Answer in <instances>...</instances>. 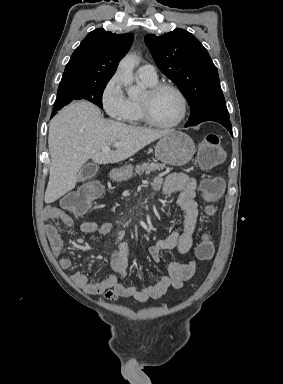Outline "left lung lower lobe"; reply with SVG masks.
Segmentation results:
<instances>
[{"label":"left lung lower lobe","instance_id":"1","mask_svg":"<svg viewBox=\"0 0 283 384\" xmlns=\"http://www.w3.org/2000/svg\"><path fill=\"white\" fill-rule=\"evenodd\" d=\"M214 121L220 123L221 125H223L230 132V134L233 135L232 134L231 122L229 120H214Z\"/></svg>","mask_w":283,"mask_h":384}]
</instances>
